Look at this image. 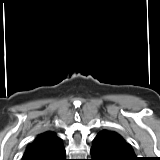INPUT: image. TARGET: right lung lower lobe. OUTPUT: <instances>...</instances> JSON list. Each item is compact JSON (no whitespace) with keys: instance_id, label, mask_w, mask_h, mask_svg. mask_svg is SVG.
I'll return each instance as SVG.
<instances>
[{"instance_id":"98d812e1","label":"right lung lower lobe","mask_w":160,"mask_h":160,"mask_svg":"<svg viewBox=\"0 0 160 160\" xmlns=\"http://www.w3.org/2000/svg\"><path fill=\"white\" fill-rule=\"evenodd\" d=\"M44 160H67L66 159V151L64 147L58 151L57 153L45 158Z\"/></svg>"}]
</instances>
